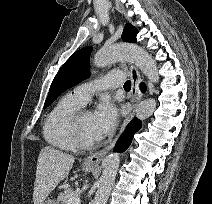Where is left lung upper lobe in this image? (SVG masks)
<instances>
[{
    "label": "left lung upper lobe",
    "instance_id": "obj_1",
    "mask_svg": "<svg viewBox=\"0 0 212 204\" xmlns=\"http://www.w3.org/2000/svg\"><path fill=\"white\" fill-rule=\"evenodd\" d=\"M138 30L131 24H126L122 33V40L125 42H136ZM91 47H85L76 51L61 67L55 76L49 90V94L44 104V108L49 106L53 100L66 89L87 79L89 73V54Z\"/></svg>",
    "mask_w": 212,
    "mask_h": 204
}]
</instances>
